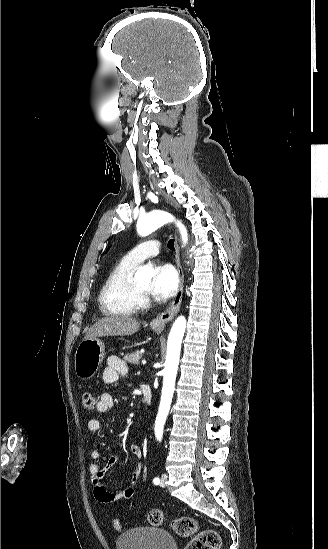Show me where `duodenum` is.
I'll use <instances>...</instances> for the list:
<instances>
[{
	"mask_svg": "<svg viewBox=\"0 0 328 549\" xmlns=\"http://www.w3.org/2000/svg\"><path fill=\"white\" fill-rule=\"evenodd\" d=\"M140 391L142 396L144 397L147 404H151L152 402V391L151 388L148 385H142L140 387Z\"/></svg>",
	"mask_w": 328,
	"mask_h": 549,
	"instance_id": "obj_1",
	"label": "duodenum"
}]
</instances>
